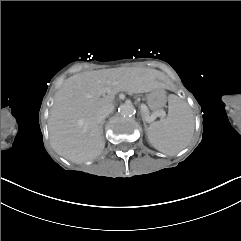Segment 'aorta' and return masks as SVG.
I'll return each mask as SVG.
<instances>
[{
  "instance_id": "aorta-1",
  "label": "aorta",
  "mask_w": 241,
  "mask_h": 241,
  "mask_svg": "<svg viewBox=\"0 0 241 241\" xmlns=\"http://www.w3.org/2000/svg\"><path fill=\"white\" fill-rule=\"evenodd\" d=\"M119 112L122 116L129 117L135 113V108L132 103H124L120 105Z\"/></svg>"
}]
</instances>
